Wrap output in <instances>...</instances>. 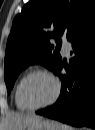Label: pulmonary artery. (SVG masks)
Wrapping results in <instances>:
<instances>
[{"label":"pulmonary artery","mask_w":95,"mask_h":130,"mask_svg":"<svg viewBox=\"0 0 95 130\" xmlns=\"http://www.w3.org/2000/svg\"><path fill=\"white\" fill-rule=\"evenodd\" d=\"M62 42H63V52L64 54H68L71 45L65 38H63Z\"/></svg>","instance_id":"obj_1"}]
</instances>
